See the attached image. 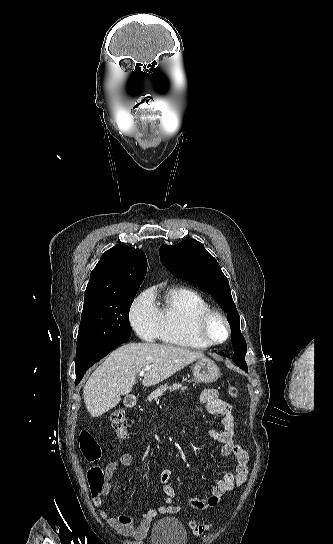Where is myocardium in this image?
<instances>
[{"mask_svg":"<svg viewBox=\"0 0 333 544\" xmlns=\"http://www.w3.org/2000/svg\"><path fill=\"white\" fill-rule=\"evenodd\" d=\"M214 319H219L225 326L226 336L223 340H216L210 334V324ZM196 331L199 339L208 346H218L226 343L231 336V325L226 315L215 308H210L203 312L196 325Z\"/></svg>","mask_w":333,"mask_h":544,"instance_id":"myocardium-1","label":"myocardium"}]
</instances>
